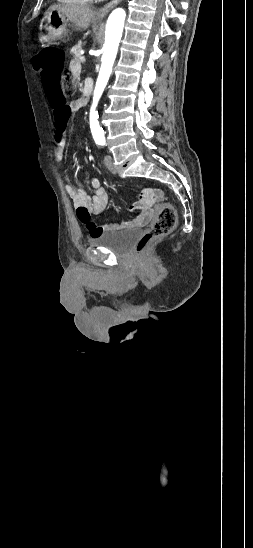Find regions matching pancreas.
<instances>
[{
	"label": "pancreas",
	"instance_id": "pancreas-1",
	"mask_svg": "<svg viewBox=\"0 0 253 548\" xmlns=\"http://www.w3.org/2000/svg\"><path fill=\"white\" fill-rule=\"evenodd\" d=\"M81 49H82L81 43H78L77 45H75V46L71 49V53H72V55L74 56V59H75L76 61H81V60H80V57H81Z\"/></svg>",
	"mask_w": 253,
	"mask_h": 548
}]
</instances>
